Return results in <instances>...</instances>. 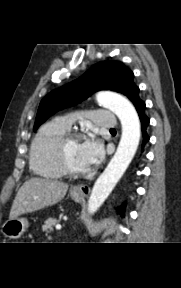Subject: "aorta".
Instances as JSON below:
<instances>
[{
	"label": "aorta",
	"instance_id": "obj_1",
	"mask_svg": "<svg viewBox=\"0 0 181 288\" xmlns=\"http://www.w3.org/2000/svg\"><path fill=\"white\" fill-rule=\"evenodd\" d=\"M97 102L112 111L122 125L118 148L106 169L96 180L88 200V212L94 214L107 199L120 180L139 145L141 126L134 106L123 96L111 92H100Z\"/></svg>",
	"mask_w": 181,
	"mask_h": 288
}]
</instances>
